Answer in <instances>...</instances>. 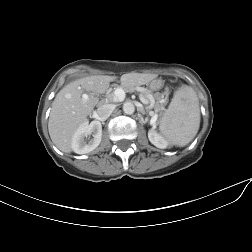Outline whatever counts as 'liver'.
<instances>
[{
  "label": "liver",
  "instance_id": "obj_1",
  "mask_svg": "<svg viewBox=\"0 0 252 252\" xmlns=\"http://www.w3.org/2000/svg\"><path fill=\"white\" fill-rule=\"evenodd\" d=\"M116 76L97 75L74 80L65 85L56 95L49 116V135L55 146L65 153L72 151L71 142L75 131L87 121L98 104V99L83 94L104 93ZM154 78L152 74L128 73L120 77L123 88L144 85Z\"/></svg>",
  "mask_w": 252,
  "mask_h": 252
}]
</instances>
